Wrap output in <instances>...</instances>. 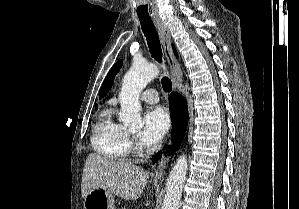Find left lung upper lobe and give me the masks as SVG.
Masks as SVG:
<instances>
[{"instance_id":"obj_1","label":"left lung upper lobe","mask_w":299,"mask_h":209,"mask_svg":"<svg viewBox=\"0 0 299 209\" xmlns=\"http://www.w3.org/2000/svg\"><path fill=\"white\" fill-rule=\"evenodd\" d=\"M122 65V61L119 60L109 71L107 77L105 78L102 87L100 89L99 95L100 97H103L106 95V93L109 91V89L111 88L112 84H113V80H114V76L116 75V73L119 71V69L121 68Z\"/></svg>"}]
</instances>
